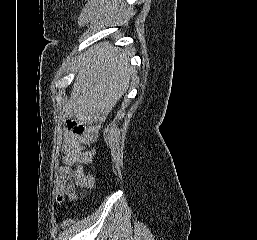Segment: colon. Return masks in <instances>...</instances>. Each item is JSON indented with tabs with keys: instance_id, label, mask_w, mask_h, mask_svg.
I'll use <instances>...</instances> for the list:
<instances>
[{
	"instance_id": "5ec220e1",
	"label": "colon",
	"mask_w": 257,
	"mask_h": 240,
	"mask_svg": "<svg viewBox=\"0 0 257 240\" xmlns=\"http://www.w3.org/2000/svg\"><path fill=\"white\" fill-rule=\"evenodd\" d=\"M67 126H68V129L75 134H82L87 129V127L84 124H82L78 121H75V120H68ZM85 181H86V183L91 182V180L89 178H85ZM59 201L62 202L63 197H60Z\"/></svg>"
}]
</instances>
